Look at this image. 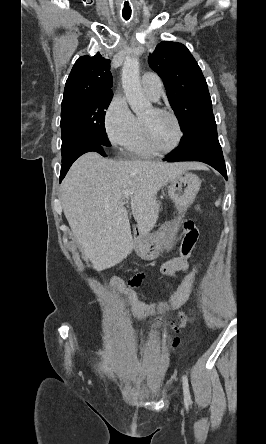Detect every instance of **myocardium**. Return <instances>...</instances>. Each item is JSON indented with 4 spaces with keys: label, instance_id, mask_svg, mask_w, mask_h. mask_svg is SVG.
Segmentation results:
<instances>
[{
    "label": "myocardium",
    "instance_id": "myocardium-1",
    "mask_svg": "<svg viewBox=\"0 0 266 444\" xmlns=\"http://www.w3.org/2000/svg\"><path fill=\"white\" fill-rule=\"evenodd\" d=\"M153 110H154V112H156L158 114L170 116L174 120L176 127H177V140H176L175 144L169 149L159 148L154 143V141L150 135L148 125L141 119V128H142V134H143L144 141H145L147 147L151 151H153L154 153L159 154V155L169 154V153L175 151L176 149H178L183 141L184 131L182 128L181 121L178 118V116L171 110L159 108V107H155V108H153Z\"/></svg>",
    "mask_w": 266,
    "mask_h": 444
}]
</instances>
